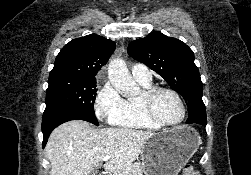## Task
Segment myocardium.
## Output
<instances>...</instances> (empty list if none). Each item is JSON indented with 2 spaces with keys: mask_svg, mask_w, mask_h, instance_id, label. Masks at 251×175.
Returning <instances> with one entry per match:
<instances>
[{
  "mask_svg": "<svg viewBox=\"0 0 251 175\" xmlns=\"http://www.w3.org/2000/svg\"><path fill=\"white\" fill-rule=\"evenodd\" d=\"M162 91L172 92L177 97V99L179 100V102L182 106L183 116H182L181 121L177 124H174V125L165 124L157 117V115L154 112L153 100L156 97V95ZM138 103H139V107H140L141 111L143 112V114L159 128L177 129V128H181L182 126H184L185 123L187 122L188 108H187V105H186L185 100L183 98V95L178 90H176L172 87L154 86L149 89H144L142 91V96L139 99Z\"/></svg>",
  "mask_w": 251,
  "mask_h": 175,
  "instance_id": "1",
  "label": "myocardium"
}]
</instances>
